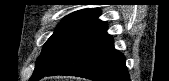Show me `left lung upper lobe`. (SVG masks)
<instances>
[{
  "mask_svg": "<svg viewBox=\"0 0 169 81\" xmlns=\"http://www.w3.org/2000/svg\"><path fill=\"white\" fill-rule=\"evenodd\" d=\"M99 9H83L63 18L53 35L45 43L37 59L35 70L30 80L48 72L61 57L72 39L84 28L98 19Z\"/></svg>",
  "mask_w": 169,
  "mask_h": 81,
  "instance_id": "left-lung-upper-lobe-1",
  "label": "left lung upper lobe"
}]
</instances>
